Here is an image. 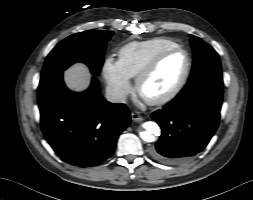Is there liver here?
Returning a JSON list of instances; mask_svg holds the SVG:
<instances>
[{
    "label": "liver",
    "instance_id": "liver-1",
    "mask_svg": "<svg viewBox=\"0 0 253 200\" xmlns=\"http://www.w3.org/2000/svg\"><path fill=\"white\" fill-rule=\"evenodd\" d=\"M64 78L69 89L83 91L89 85L90 73L84 64L77 63L65 71Z\"/></svg>",
    "mask_w": 253,
    "mask_h": 200
}]
</instances>
